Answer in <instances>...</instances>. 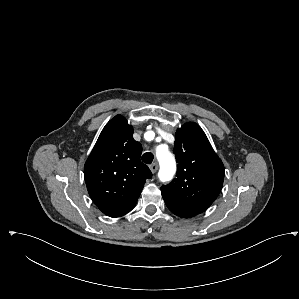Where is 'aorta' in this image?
Returning a JSON list of instances; mask_svg holds the SVG:
<instances>
[{
    "label": "aorta",
    "mask_w": 299,
    "mask_h": 299,
    "mask_svg": "<svg viewBox=\"0 0 299 299\" xmlns=\"http://www.w3.org/2000/svg\"><path fill=\"white\" fill-rule=\"evenodd\" d=\"M157 159L160 165L159 179L163 182L172 179L176 171V163L173 155L168 150H157Z\"/></svg>",
    "instance_id": "762f6f07"
}]
</instances>
